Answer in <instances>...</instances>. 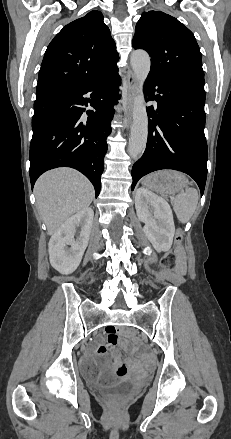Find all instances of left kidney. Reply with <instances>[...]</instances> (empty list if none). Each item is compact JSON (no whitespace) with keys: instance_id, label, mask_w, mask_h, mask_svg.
Returning a JSON list of instances; mask_svg holds the SVG:
<instances>
[{"instance_id":"left-kidney-1","label":"left kidney","mask_w":231,"mask_h":439,"mask_svg":"<svg viewBox=\"0 0 231 439\" xmlns=\"http://www.w3.org/2000/svg\"><path fill=\"white\" fill-rule=\"evenodd\" d=\"M138 219L145 223L144 233L157 252L168 251L173 243L175 226L169 204L146 188L135 194Z\"/></svg>"}]
</instances>
